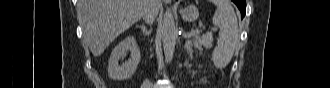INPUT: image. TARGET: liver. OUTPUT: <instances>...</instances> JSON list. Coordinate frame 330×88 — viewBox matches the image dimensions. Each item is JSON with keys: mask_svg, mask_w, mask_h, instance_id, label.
<instances>
[{"mask_svg": "<svg viewBox=\"0 0 330 88\" xmlns=\"http://www.w3.org/2000/svg\"><path fill=\"white\" fill-rule=\"evenodd\" d=\"M148 0H79L77 12L83 37L92 54L101 55L122 32L143 15ZM160 0L154 6L158 13Z\"/></svg>", "mask_w": 330, "mask_h": 88, "instance_id": "1", "label": "liver"}]
</instances>
